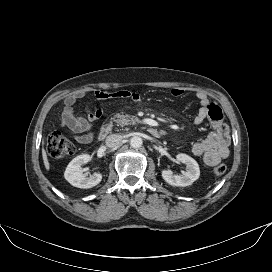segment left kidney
I'll return each instance as SVG.
<instances>
[{
    "label": "left kidney",
    "instance_id": "left-kidney-1",
    "mask_svg": "<svg viewBox=\"0 0 272 272\" xmlns=\"http://www.w3.org/2000/svg\"><path fill=\"white\" fill-rule=\"evenodd\" d=\"M178 162L186 165V171L174 174L171 170H162L163 179L172 186L185 187L191 185L200 176L198 163L190 156L180 153L176 155Z\"/></svg>",
    "mask_w": 272,
    "mask_h": 272
}]
</instances>
